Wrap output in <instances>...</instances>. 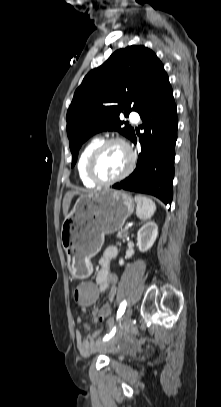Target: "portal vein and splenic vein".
Listing matches in <instances>:
<instances>
[{"instance_id": "1", "label": "portal vein and splenic vein", "mask_w": 221, "mask_h": 407, "mask_svg": "<svg viewBox=\"0 0 221 407\" xmlns=\"http://www.w3.org/2000/svg\"><path fill=\"white\" fill-rule=\"evenodd\" d=\"M129 228V226H125V229H128Z\"/></svg>"}]
</instances>
